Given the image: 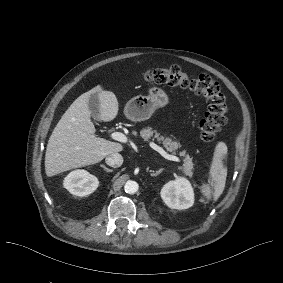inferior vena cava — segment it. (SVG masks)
Wrapping results in <instances>:
<instances>
[{
	"label": "inferior vena cava",
	"mask_w": 283,
	"mask_h": 283,
	"mask_svg": "<svg viewBox=\"0 0 283 283\" xmlns=\"http://www.w3.org/2000/svg\"><path fill=\"white\" fill-rule=\"evenodd\" d=\"M105 161L109 166H112L114 168H117V167H119L123 164L122 156L120 154H117V153H113V154L108 155L106 157Z\"/></svg>",
	"instance_id": "obj_1"
}]
</instances>
